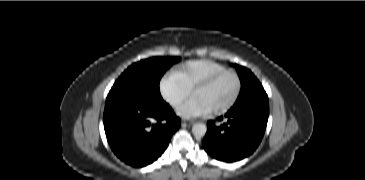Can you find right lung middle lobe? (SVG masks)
I'll return each mask as SVG.
<instances>
[{
    "mask_svg": "<svg viewBox=\"0 0 365 180\" xmlns=\"http://www.w3.org/2000/svg\"><path fill=\"white\" fill-rule=\"evenodd\" d=\"M177 60V57H154L134 63L114 83L107 96L106 104L137 96L162 98L159 90L160 79Z\"/></svg>",
    "mask_w": 365,
    "mask_h": 180,
    "instance_id": "dd1d6c3e",
    "label": "right lung middle lobe"
}]
</instances>
